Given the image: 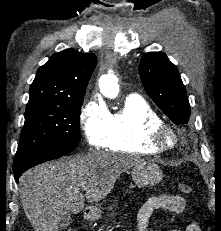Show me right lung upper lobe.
Listing matches in <instances>:
<instances>
[{
  "instance_id": "1",
  "label": "right lung upper lobe",
  "mask_w": 221,
  "mask_h": 231,
  "mask_svg": "<svg viewBox=\"0 0 221 231\" xmlns=\"http://www.w3.org/2000/svg\"><path fill=\"white\" fill-rule=\"evenodd\" d=\"M96 64L93 53L74 49L55 53L37 70L28 104L83 98Z\"/></svg>"
}]
</instances>
